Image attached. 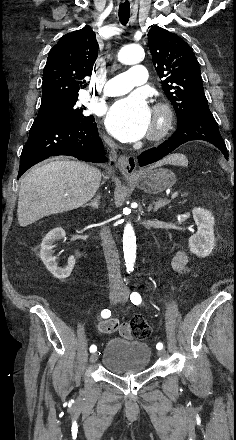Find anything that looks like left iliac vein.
I'll use <instances>...</instances> for the list:
<instances>
[{
  "label": "left iliac vein",
  "mask_w": 236,
  "mask_h": 440,
  "mask_svg": "<svg viewBox=\"0 0 236 440\" xmlns=\"http://www.w3.org/2000/svg\"><path fill=\"white\" fill-rule=\"evenodd\" d=\"M128 300V294L127 293H123L122 295H121V297L119 298V302L120 303H125L126 301ZM157 354H158V356H160V357H163V356H165L166 355V353H165V351H158L157 352Z\"/></svg>",
  "instance_id": "4c4485c4"
}]
</instances>
